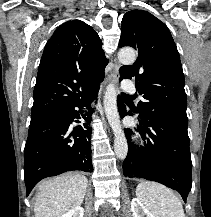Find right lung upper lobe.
<instances>
[{"mask_svg":"<svg viewBox=\"0 0 211 217\" xmlns=\"http://www.w3.org/2000/svg\"><path fill=\"white\" fill-rule=\"evenodd\" d=\"M94 29L80 20L59 26L48 40L38 69L31 116L76 101L98 88L108 64Z\"/></svg>","mask_w":211,"mask_h":217,"instance_id":"right-lung-upper-lobe-1","label":"right lung upper lobe"}]
</instances>
